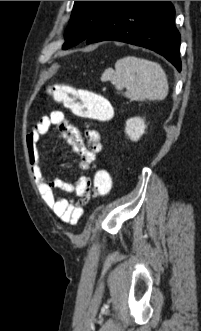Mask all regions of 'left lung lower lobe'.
Masks as SVG:
<instances>
[{
    "label": "left lung lower lobe",
    "instance_id": "left-lung-lower-lobe-1",
    "mask_svg": "<svg viewBox=\"0 0 201 331\" xmlns=\"http://www.w3.org/2000/svg\"><path fill=\"white\" fill-rule=\"evenodd\" d=\"M170 1H120L85 40L121 41L153 50L181 71L180 34Z\"/></svg>",
    "mask_w": 201,
    "mask_h": 331
}]
</instances>
